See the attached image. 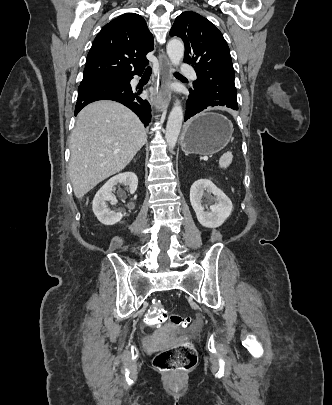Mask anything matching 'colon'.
Returning a JSON list of instances; mask_svg holds the SVG:
<instances>
[{"label": "colon", "instance_id": "obj_1", "mask_svg": "<svg viewBox=\"0 0 332 405\" xmlns=\"http://www.w3.org/2000/svg\"><path fill=\"white\" fill-rule=\"evenodd\" d=\"M145 320L149 326L166 322L171 329H178L188 327L192 319L188 316L170 314L160 303H155L149 308ZM196 362V351L190 342L161 350L153 359V364L158 370L173 374L191 370Z\"/></svg>", "mask_w": 332, "mask_h": 405}]
</instances>
